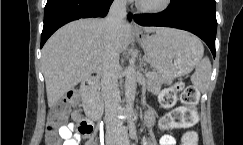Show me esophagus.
<instances>
[{"instance_id":"34e87169","label":"esophagus","mask_w":243,"mask_h":145,"mask_svg":"<svg viewBox=\"0 0 243 145\" xmlns=\"http://www.w3.org/2000/svg\"><path fill=\"white\" fill-rule=\"evenodd\" d=\"M132 29L134 31H138L139 30V27H138V25H137V23L135 21L132 22Z\"/></svg>"}]
</instances>
